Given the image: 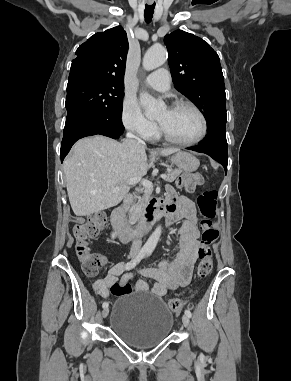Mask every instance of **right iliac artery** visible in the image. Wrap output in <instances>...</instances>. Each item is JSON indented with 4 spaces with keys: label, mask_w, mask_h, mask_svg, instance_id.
I'll use <instances>...</instances> for the list:
<instances>
[{
    "label": "right iliac artery",
    "mask_w": 291,
    "mask_h": 381,
    "mask_svg": "<svg viewBox=\"0 0 291 381\" xmlns=\"http://www.w3.org/2000/svg\"><path fill=\"white\" fill-rule=\"evenodd\" d=\"M147 252H148V250H146V249L140 250V252L138 253V255L134 259H132L131 261L126 263L125 269L126 270L133 269L137 264L140 263V261L144 258V256L147 254ZM108 305H109L108 302H103L102 307L107 308Z\"/></svg>",
    "instance_id": "1"
}]
</instances>
